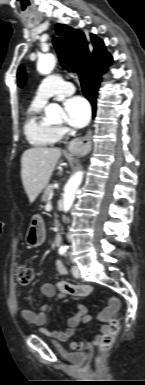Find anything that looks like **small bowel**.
Listing matches in <instances>:
<instances>
[{
  "instance_id": "1",
  "label": "small bowel",
  "mask_w": 145,
  "mask_h": 385,
  "mask_svg": "<svg viewBox=\"0 0 145 385\" xmlns=\"http://www.w3.org/2000/svg\"><path fill=\"white\" fill-rule=\"evenodd\" d=\"M54 266L57 269V271L62 275H67L68 271L65 267V265L59 261H54ZM63 285H72L68 283H46L41 286V292L43 296L47 299V301H56L60 298H62L66 293L62 291ZM79 289L80 293L73 295V296H81L85 297L88 296L91 293V287L89 285L83 284V285H73ZM60 290V293L57 292V290ZM12 301L14 307H16V298L15 293L12 291ZM120 303L119 300L116 298H111L109 307L105 310H103L99 314V319L103 322V325L100 328V334L95 336L92 339H87L82 342H70L69 348L73 351H83L84 349L91 347L93 345H97L102 337L103 334H105L108 330V324L107 321L116 315L118 309H119ZM47 310H48V302L41 305L39 311L35 312L30 309H22L21 310V316L23 319H25L27 322L34 324L38 327H40L41 333L45 335H50L54 339L60 342L68 341L75 333V330L77 326L80 323H88L91 320V316L87 314V309L84 305H78L75 309L74 315L68 318L67 320V327L64 331H53L50 332L48 329L45 328V324L47 322Z\"/></svg>"
}]
</instances>
